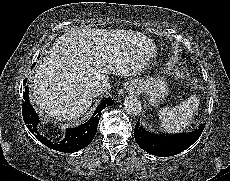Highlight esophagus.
Listing matches in <instances>:
<instances>
[{
	"mask_svg": "<svg viewBox=\"0 0 230 181\" xmlns=\"http://www.w3.org/2000/svg\"><path fill=\"white\" fill-rule=\"evenodd\" d=\"M128 95H137L140 93V89L137 85L132 84L127 88Z\"/></svg>",
	"mask_w": 230,
	"mask_h": 181,
	"instance_id": "esophagus-1",
	"label": "esophagus"
}]
</instances>
